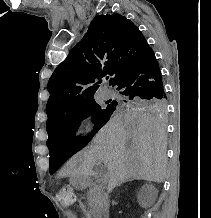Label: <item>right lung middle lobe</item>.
<instances>
[{"label":"right lung middle lobe","mask_w":211,"mask_h":218,"mask_svg":"<svg viewBox=\"0 0 211 218\" xmlns=\"http://www.w3.org/2000/svg\"><path fill=\"white\" fill-rule=\"evenodd\" d=\"M110 103L105 109H103L95 100L89 101L70 113L62 116L56 124L48 130L47 146L50 150H63L69 152L70 156L79 151L85 146L92 135L101 128L110 118L116 107L133 108L138 106H147L158 111H165L166 109V98H131L126 97L119 101H107ZM92 116V120L96 123V129L91 133L89 137L79 138L76 137V132L80 125V122ZM49 170L50 174L56 172V170L63 164L65 160H61L58 156L50 155Z\"/></svg>","instance_id":"obj_1"}]
</instances>
